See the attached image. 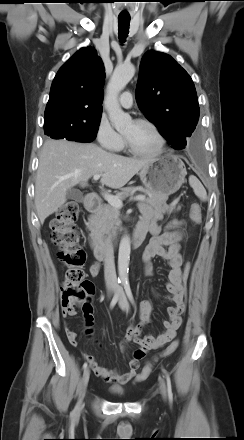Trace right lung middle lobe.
I'll return each instance as SVG.
<instances>
[{"label":"right lung middle lobe","mask_w":244,"mask_h":440,"mask_svg":"<svg viewBox=\"0 0 244 440\" xmlns=\"http://www.w3.org/2000/svg\"><path fill=\"white\" fill-rule=\"evenodd\" d=\"M99 124V120L88 124L49 120L44 122V133L53 139L65 138L70 141L91 142L96 138Z\"/></svg>","instance_id":"obj_1"}]
</instances>
